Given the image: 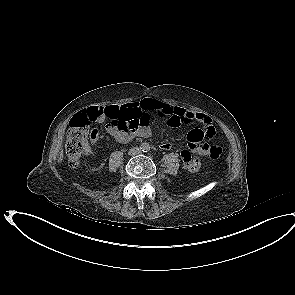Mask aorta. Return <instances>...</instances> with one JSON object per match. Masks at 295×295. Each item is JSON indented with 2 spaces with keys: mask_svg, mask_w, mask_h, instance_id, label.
<instances>
[{
  "mask_svg": "<svg viewBox=\"0 0 295 295\" xmlns=\"http://www.w3.org/2000/svg\"><path fill=\"white\" fill-rule=\"evenodd\" d=\"M143 149H144V150H149V149H150L149 144H148V143H144V144H143Z\"/></svg>",
  "mask_w": 295,
  "mask_h": 295,
  "instance_id": "1",
  "label": "aorta"
}]
</instances>
